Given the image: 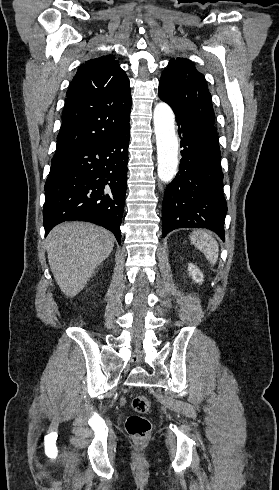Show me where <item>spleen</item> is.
<instances>
[{
    "mask_svg": "<svg viewBox=\"0 0 279 490\" xmlns=\"http://www.w3.org/2000/svg\"><path fill=\"white\" fill-rule=\"evenodd\" d=\"M190 238L192 244L196 246L197 250L203 252L209 264H216L219 252V246L216 240H214L210 234L204 232V230H197V232H193Z\"/></svg>",
    "mask_w": 279,
    "mask_h": 490,
    "instance_id": "spleen-1",
    "label": "spleen"
}]
</instances>
